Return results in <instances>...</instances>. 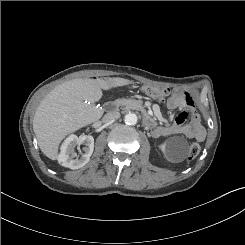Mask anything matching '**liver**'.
<instances>
[{
	"label": "liver",
	"mask_w": 245,
	"mask_h": 245,
	"mask_svg": "<svg viewBox=\"0 0 245 245\" xmlns=\"http://www.w3.org/2000/svg\"><path fill=\"white\" fill-rule=\"evenodd\" d=\"M131 83L120 77L77 78L56 86L41 101L33 118V131L41 151L52 160L58 159L59 145L68 134L102 117L103 110L95 106L102 98V89Z\"/></svg>",
	"instance_id": "1"
}]
</instances>
